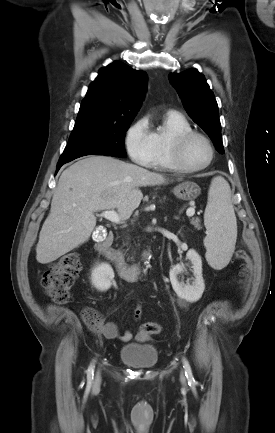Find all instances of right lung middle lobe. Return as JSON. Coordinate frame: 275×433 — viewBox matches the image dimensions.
Segmentation results:
<instances>
[{
    "mask_svg": "<svg viewBox=\"0 0 275 433\" xmlns=\"http://www.w3.org/2000/svg\"><path fill=\"white\" fill-rule=\"evenodd\" d=\"M131 121L132 119L120 122L76 121L58 164H65L85 155L126 157L124 136Z\"/></svg>",
    "mask_w": 275,
    "mask_h": 433,
    "instance_id": "obj_1",
    "label": "right lung middle lobe"
}]
</instances>
